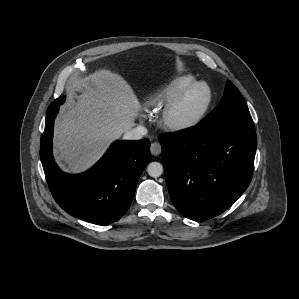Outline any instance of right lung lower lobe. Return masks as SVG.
<instances>
[{"label": "right lung lower lobe", "instance_id": "98d812e1", "mask_svg": "<svg viewBox=\"0 0 299 299\" xmlns=\"http://www.w3.org/2000/svg\"><path fill=\"white\" fill-rule=\"evenodd\" d=\"M58 104L47 110L40 157L47 183L58 205L79 219L104 225L119 220L128 210L137 182L151 160L148 139L116 141L90 170L63 173L52 155L54 119Z\"/></svg>", "mask_w": 299, "mask_h": 299}]
</instances>
